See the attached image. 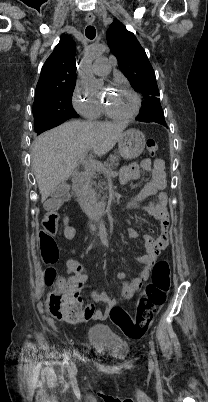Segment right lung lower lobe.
<instances>
[{
  "mask_svg": "<svg viewBox=\"0 0 208 402\" xmlns=\"http://www.w3.org/2000/svg\"><path fill=\"white\" fill-rule=\"evenodd\" d=\"M63 122L65 121L59 120L54 117L38 119L35 121V130H38V134H41L42 132L54 128Z\"/></svg>",
  "mask_w": 208,
  "mask_h": 402,
  "instance_id": "right-lung-lower-lobe-1",
  "label": "right lung lower lobe"
}]
</instances>
